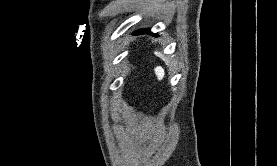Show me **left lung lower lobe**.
Segmentation results:
<instances>
[{"instance_id":"left-lung-lower-lobe-1","label":"left lung lower lobe","mask_w":277,"mask_h":166,"mask_svg":"<svg viewBox=\"0 0 277 166\" xmlns=\"http://www.w3.org/2000/svg\"><path fill=\"white\" fill-rule=\"evenodd\" d=\"M144 33H151L150 32V29H141V30H138L137 32H135L134 34L137 35V34H144ZM156 36V34H153Z\"/></svg>"}]
</instances>
